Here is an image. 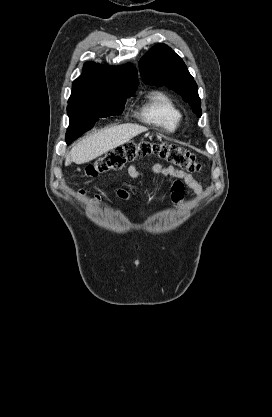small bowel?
<instances>
[{"mask_svg": "<svg viewBox=\"0 0 272 417\" xmlns=\"http://www.w3.org/2000/svg\"><path fill=\"white\" fill-rule=\"evenodd\" d=\"M149 171L155 175H161L167 180H171V198L175 206H179L185 196V189L188 188L197 196H201L203 193V188L199 181H197L190 173H187L183 170L174 168L173 166L165 167L161 164H153ZM128 175L132 179H138L143 175V172L138 168L136 164H132L127 169ZM80 196L85 195L86 190L80 189L78 191ZM114 195L123 200H130L136 195V190L134 187L128 184H121L118 188L114 190ZM106 198L104 193L97 194L92 199V205H97L103 199Z\"/></svg>", "mask_w": 272, "mask_h": 417, "instance_id": "small-bowel-1", "label": "small bowel"}]
</instances>
